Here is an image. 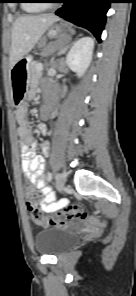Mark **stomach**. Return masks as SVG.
<instances>
[{"label": "stomach", "instance_id": "obj_1", "mask_svg": "<svg viewBox=\"0 0 136 296\" xmlns=\"http://www.w3.org/2000/svg\"><path fill=\"white\" fill-rule=\"evenodd\" d=\"M60 32V27L55 26L49 31V36H56ZM59 37H68L60 34ZM62 48V47H57ZM32 57L26 56L20 59L12 68L13 84H28L27 74H31ZM27 73V74H26ZM14 90L13 101L14 107L20 108L24 104L25 90H29V85H13Z\"/></svg>", "mask_w": 136, "mask_h": 296}]
</instances>
